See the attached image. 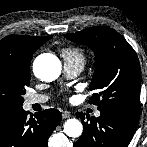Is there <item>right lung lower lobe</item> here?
<instances>
[{"instance_id": "1", "label": "right lung lower lobe", "mask_w": 147, "mask_h": 147, "mask_svg": "<svg viewBox=\"0 0 147 147\" xmlns=\"http://www.w3.org/2000/svg\"><path fill=\"white\" fill-rule=\"evenodd\" d=\"M61 114L46 109L32 116L22 109L0 116V147H47Z\"/></svg>"}]
</instances>
